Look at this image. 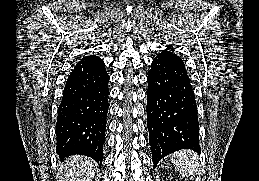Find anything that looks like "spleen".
Instances as JSON below:
<instances>
[{
    "label": "spleen",
    "mask_w": 259,
    "mask_h": 181,
    "mask_svg": "<svg viewBox=\"0 0 259 181\" xmlns=\"http://www.w3.org/2000/svg\"><path fill=\"white\" fill-rule=\"evenodd\" d=\"M170 161L182 175H193L197 171V155L191 150H180L171 155Z\"/></svg>",
    "instance_id": "1"
}]
</instances>
